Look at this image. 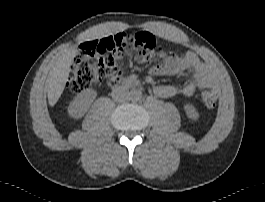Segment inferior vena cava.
<instances>
[{"label": "inferior vena cava", "instance_id": "1", "mask_svg": "<svg viewBox=\"0 0 265 202\" xmlns=\"http://www.w3.org/2000/svg\"><path fill=\"white\" fill-rule=\"evenodd\" d=\"M111 95L116 102H124L130 98L129 90L123 86L114 88Z\"/></svg>", "mask_w": 265, "mask_h": 202}]
</instances>
